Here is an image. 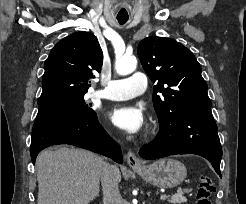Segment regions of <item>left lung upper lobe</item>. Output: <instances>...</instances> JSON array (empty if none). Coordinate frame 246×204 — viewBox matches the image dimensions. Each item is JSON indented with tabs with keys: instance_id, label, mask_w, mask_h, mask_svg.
<instances>
[{
	"instance_id": "5c2ea615",
	"label": "left lung upper lobe",
	"mask_w": 246,
	"mask_h": 204,
	"mask_svg": "<svg viewBox=\"0 0 246 204\" xmlns=\"http://www.w3.org/2000/svg\"><path fill=\"white\" fill-rule=\"evenodd\" d=\"M137 52L147 75L157 82L153 104L160 125L177 114L211 110L201 66L189 49L172 39L148 37Z\"/></svg>"
}]
</instances>
